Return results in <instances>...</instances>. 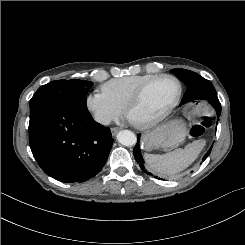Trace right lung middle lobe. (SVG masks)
I'll use <instances>...</instances> for the list:
<instances>
[{"label": "right lung middle lobe", "instance_id": "dd1d6c3e", "mask_svg": "<svg viewBox=\"0 0 245 245\" xmlns=\"http://www.w3.org/2000/svg\"><path fill=\"white\" fill-rule=\"evenodd\" d=\"M92 82L55 80L41 86L30 100V112L39 106L55 104L71 110H87L86 95Z\"/></svg>", "mask_w": 245, "mask_h": 245}]
</instances>
